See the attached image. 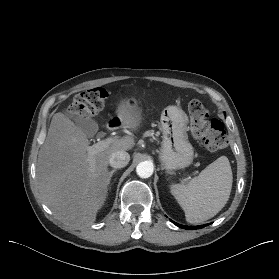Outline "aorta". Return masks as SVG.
Instances as JSON below:
<instances>
[{
  "instance_id": "762f6f07",
  "label": "aorta",
  "mask_w": 279,
  "mask_h": 279,
  "mask_svg": "<svg viewBox=\"0 0 279 279\" xmlns=\"http://www.w3.org/2000/svg\"><path fill=\"white\" fill-rule=\"evenodd\" d=\"M153 171V164L149 161L140 162L136 167V173L141 178H149Z\"/></svg>"
}]
</instances>
